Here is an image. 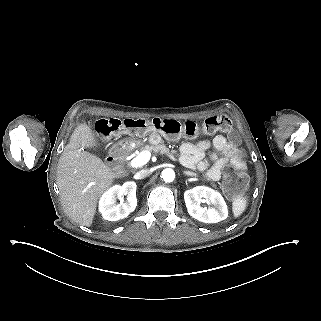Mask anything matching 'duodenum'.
Listing matches in <instances>:
<instances>
[{
    "mask_svg": "<svg viewBox=\"0 0 321 321\" xmlns=\"http://www.w3.org/2000/svg\"><path fill=\"white\" fill-rule=\"evenodd\" d=\"M125 149L124 147L117 145L114 146L107 158L108 164L110 166H118L124 157Z\"/></svg>",
    "mask_w": 321,
    "mask_h": 321,
    "instance_id": "duodenum-1",
    "label": "duodenum"
}]
</instances>
